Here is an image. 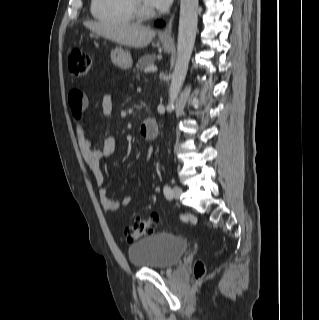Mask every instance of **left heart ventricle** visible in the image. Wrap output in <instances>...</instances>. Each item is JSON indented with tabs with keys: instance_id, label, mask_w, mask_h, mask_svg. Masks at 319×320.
<instances>
[{
	"instance_id": "left-heart-ventricle-1",
	"label": "left heart ventricle",
	"mask_w": 319,
	"mask_h": 320,
	"mask_svg": "<svg viewBox=\"0 0 319 320\" xmlns=\"http://www.w3.org/2000/svg\"><path fill=\"white\" fill-rule=\"evenodd\" d=\"M142 2H143L146 6L151 7V6L149 5V3H148V0H142Z\"/></svg>"
}]
</instances>
